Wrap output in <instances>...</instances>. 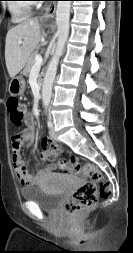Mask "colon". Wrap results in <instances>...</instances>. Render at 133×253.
Returning <instances> with one entry per match:
<instances>
[{
  "label": "colon",
  "instance_id": "5ec220e1",
  "mask_svg": "<svg viewBox=\"0 0 133 253\" xmlns=\"http://www.w3.org/2000/svg\"><path fill=\"white\" fill-rule=\"evenodd\" d=\"M6 106L11 122L20 126L27 117L26 106L16 97H9ZM43 148L47 151L48 160L56 158L60 151L59 146L52 141V137H41ZM62 172L73 176L86 175L91 179L90 182L83 184L69 198L65 204V211L68 214H78L94 206L99 197H108L111 193V185L101 172L92 164L81 166L75 158L69 160L60 159L57 162Z\"/></svg>",
  "mask_w": 133,
  "mask_h": 253
}]
</instances>
